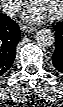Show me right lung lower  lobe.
<instances>
[{"mask_svg": "<svg viewBox=\"0 0 63 107\" xmlns=\"http://www.w3.org/2000/svg\"><path fill=\"white\" fill-rule=\"evenodd\" d=\"M19 40L20 30L17 23L0 14V76L11 67Z\"/></svg>", "mask_w": 63, "mask_h": 107, "instance_id": "98d812e1", "label": "right lung lower lobe"}]
</instances>
